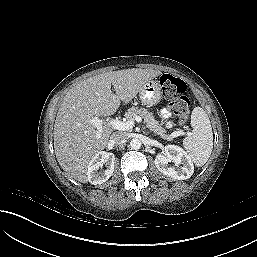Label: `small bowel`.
Returning a JSON list of instances; mask_svg holds the SVG:
<instances>
[{
    "label": "small bowel",
    "mask_w": 257,
    "mask_h": 257,
    "mask_svg": "<svg viewBox=\"0 0 257 257\" xmlns=\"http://www.w3.org/2000/svg\"><path fill=\"white\" fill-rule=\"evenodd\" d=\"M162 115H163V117H167V116H168V111H167V109H163V110H162Z\"/></svg>",
    "instance_id": "obj_1"
}]
</instances>
